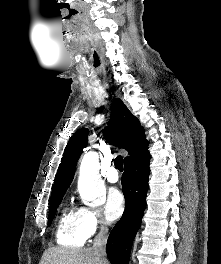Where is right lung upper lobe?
Returning <instances> with one entry per match:
<instances>
[{
	"label": "right lung upper lobe",
	"mask_w": 221,
	"mask_h": 264,
	"mask_svg": "<svg viewBox=\"0 0 221 264\" xmlns=\"http://www.w3.org/2000/svg\"><path fill=\"white\" fill-rule=\"evenodd\" d=\"M88 133L87 128H82L70 138L54 180L50 199L65 194L70 186L77 160L83 148L87 146ZM104 137L109 143L129 152V156L124 160L125 164L150 156L144 128L121 99H115L112 104V116L108 127L104 129Z\"/></svg>",
	"instance_id": "cb5924a9"
}]
</instances>
